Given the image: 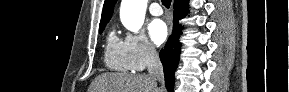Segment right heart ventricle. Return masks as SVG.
<instances>
[{
    "label": "right heart ventricle",
    "mask_w": 289,
    "mask_h": 92,
    "mask_svg": "<svg viewBox=\"0 0 289 92\" xmlns=\"http://www.w3.org/2000/svg\"><path fill=\"white\" fill-rule=\"evenodd\" d=\"M105 62L115 71L127 72L131 70L127 63L124 41L118 39L114 31H111L106 40Z\"/></svg>",
    "instance_id": "right-heart-ventricle-1"
}]
</instances>
